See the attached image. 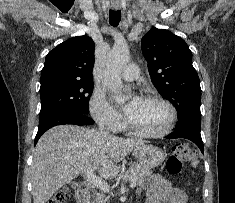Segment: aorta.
Instances as JSON below:
<instances>
[{
  "label": "aorta",
  "instance_id": "aorta-1",
  "mask_svg": "<svg viewBox=\"0 0 235 203\" xmlns=\"http://www.w3.org/2000/svg\"><path fill=\"white\" fill-rule=\"evenodd\" d=\"M130 61L129 48L126 44H116L107 55L103 86L118 93L122 90L121 71Z\"/></svg>",
  "mask_w": 235,
  "mask_h": 203
}]
</instances>
